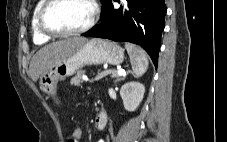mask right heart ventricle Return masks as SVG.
I'll use <instances>...</instances> for the list:
<instances>
[{"instance_id": "1", "label": "right heart ventricle", "mask_w": 227, "mask_h": 142, "mask_svg": "<svg viewBox=\"0 0 227 142\" xmlns=\"http://www.w3.org/2000/svg\"><path fill=\"white\" fill-rule=\"evenodd\" d=\"M45 0H38L34 6L32 18H31V29H32V36L33 41L36 44H43L50 40L51 36L44 34L41 32L38 26V13L42 5L44 4Z\"/></svg>"}]
</instances>
